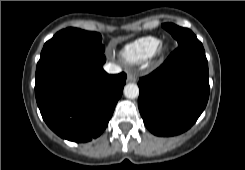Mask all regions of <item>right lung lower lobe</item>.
<instances>
[{
	"label": "right lung lower lobe",
	"instance_id": "right-lung-lower-lobe-1",
	"mask_svg": "<svg viewBox=\"0 0 245 170\" xmlns=\"http://www.w3.org/2000/svg\"><path fill=\"white\" fill-rule=\"evenodd\" d=\"M101 52L65 50L36 69L35 95L46 124L60 137L88 142L107 127L126 74H107Z\"/></svg>",
	"mask_w": 245,
	"mask_h": 170
}]
</instances>
